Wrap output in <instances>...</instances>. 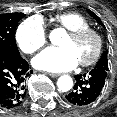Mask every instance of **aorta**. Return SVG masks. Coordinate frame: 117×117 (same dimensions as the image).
<instances>
[{
    "label": "aorta",
    "instance_id": "1",
    "mask_svg": "<svg viewBox=\"0 0 117 117\" xmlns=\"http://www.w3.org/2000/svg\"><path fill=\"white\" fill-rule=\"evenodd\" d=\"M62 34L61 29H55L50 33V40L52 43H56L59 36ZM57 86L62 92H67L73 87V80L68 75H63L58 78Z\"/></svg>",
    "mask_w": 117,
    "mask_h": 117
}]
</instances>
